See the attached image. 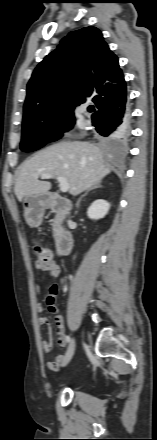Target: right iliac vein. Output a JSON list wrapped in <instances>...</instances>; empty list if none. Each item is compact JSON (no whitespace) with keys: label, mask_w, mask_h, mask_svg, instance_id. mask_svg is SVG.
I'll use <instances>...</instances> for the list:
<instances>
[{"label":"right iliac vein","mask_w":157,"mask_h":440,"mask_svg":"<svg viewBox=\"0 0 157 440\" xmlns=\"http://www.w3.org/2000/svg\"><path fill=\"white\" fill-rule=\"evenodd\" d=\"M75 348H76V342H75V339H72L71 340V344H70V346L68 348V351H67V354H66V359H65V361L63 363V366H66L70 362V360L72 359V357L74 355Z\"/></svg>","instance_id":"1"}]
</instances>
